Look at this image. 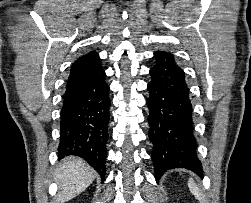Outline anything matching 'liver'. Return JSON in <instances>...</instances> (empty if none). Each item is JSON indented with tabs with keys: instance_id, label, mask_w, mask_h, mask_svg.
Masks as SVG:
<instances>
[{
	"instance_id": "obj_1",
	"label": "liver",
	"mask_w": 251,
	"mask_h": 203,
	"mask_svg": "<svg viewBox=\"0 0 251 203\" xmlns=\"http://www.w3.org/2000/svg\"><path fill=\"white\" fill-rule=\"evenodd\" d=\"M90 166L78 157H68L57 168L55 180L59 184V202L69 201L81 194L94 180Z\"/></svg>"
}]
</instances>
